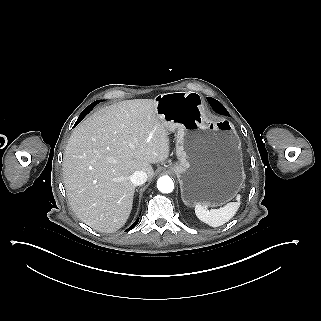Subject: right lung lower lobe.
<instances>
[{"label": "right lung lower lobe", "instance_id": "1", "mask_svg": "<svg viewBox=\"0 0 321 321\" xmlns=\"http://www.w3.org/2000/svg\"><path fill=\"white\" fill-rule=\"evenodd\" d=\"M101 100H97L95 102H93L92 104H90L79 116V118L77 119L75 125H77L84 117L86 114H88L95 105H97ZM139 219H137L128 230H131L132 228H134L136 226V224L138 223Z\"/></svg>", "mask_w": 321, "mask_h": 321}]
</instances>
